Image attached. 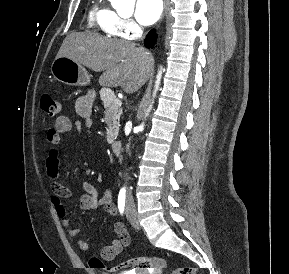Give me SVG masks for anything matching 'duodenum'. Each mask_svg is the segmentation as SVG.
<instances>
[{
	"instance_id": "obj_1",
	"label": "duodenum",
	"mask_w": 289,
	"mask_h": 274,
	"mask_svg": "<svg viewBox=\"0 0 289 274\" xmlns=\"http://www.w3.org/2000/svg\"><path fill=\"white\" fill-rule=\"evenodd\" d=\"M122 144L120 141H113L111 143V149L115 154H119L121 152Z\"/></svg>"
}]
</instances>
